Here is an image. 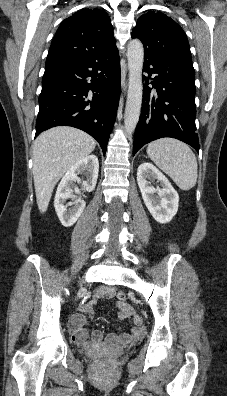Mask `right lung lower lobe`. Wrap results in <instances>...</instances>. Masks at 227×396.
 Wrapping results in <instances>:
<instances>
[{
    "mask_svg": "<svg viewBox=\"0 0 227 396\" xmlns=\"http://www.w3.org/2000/svg\"><path fill=\"white\" fill-rule=\"evenodd\" d=\"M120 90L117 47L45 68L35 136L55 126L76 127L94 137L105 154Z\"/></svg>",
    "mask_w": 227,
    "mask_h": 396,
    "instance_id": "right-lung-lower-lobe-1",
    "label": "right lung lower lobe"
}]
</instances>
